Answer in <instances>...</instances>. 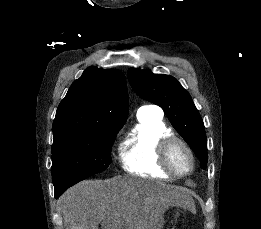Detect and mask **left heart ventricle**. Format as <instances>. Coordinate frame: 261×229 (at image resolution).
I'll return each instance as SVG.
<instances>
[{"label":"left heart ventricle","instance_id":"1","mask_svg":"<svg viewBox=\"0 0 261 229\" xmlns=\"http://www.w3.org/2000/svg\"><path fill=\"white\" fill-rule=\"evenodd\" d=\"M172 164L178 171H185L189 167V157L185 149L177 146L172 151Z\"/></svg>","mask_w":261,"mask_h":229}]
</instances>
